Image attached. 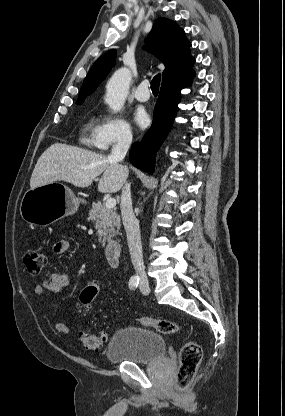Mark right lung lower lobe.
<instances>
[{
  "mask_svg": "<svg viewBox=\"0 0 285 416\" xmlns=\"http://www.w3.org/2000/svg\"><path fill=\"white\" fill-rule=\"evenodd\" d=\"M194 72L180 76L161 85L151 128L139 143L132 146L129 154L131 163L152 174L154 171L155 153L169 133L180 102V91L190 83Z\"/></svg>",
  "mask_w": 285,
  "mask_h": 416,
  "instance_id": "1",
  "label": "right lung lower lobe"
}]
</instances>
